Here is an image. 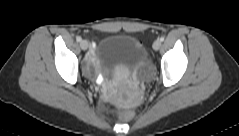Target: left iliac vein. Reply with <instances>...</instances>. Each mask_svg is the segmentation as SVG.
I'll return each mask as SVG.
<instances>
[{
  "instance_id": "left-iliac-vein-1",
  "label": "left iliac vein",
  "mask_w": 239,
  "mask_h": 136,
  "mask_svg": "<svg viewBox=\"0 0 239 136\" xmlns=\"http://www.w3.org/2000/svg\"><path fill=\"white\" fill-rule=\"evenodd\" d=\"M160 46H161L160 40H156V41L153 43V49H154V50H159Z\"/></svg>"
}]
</instances>
